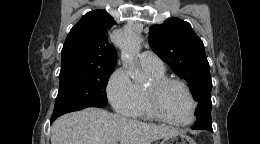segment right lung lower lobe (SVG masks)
<instances>
[{"mask_svg":"<svg viewBox=\"0 0 260 144\" xmlns=\"http://www.w3.org/2000/svg\"><path fill=\"white\" fill-rule=\"evenodd\" d=\"M54 120H55V119H54V118H52V119H51V123H52Z\"/></svg>","mask_w":260,"mask_h":144,"instance_id":"1","label":"right lung lower lobe"}]
</instances>
